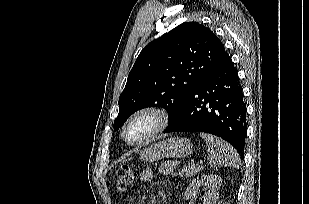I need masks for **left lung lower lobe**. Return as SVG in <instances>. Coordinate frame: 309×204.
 <instances>
[{
  "mask_svg": "<svg viewBox=\"0 0 309 204\" xmlns=\"http://www.w3.org/2000/svg\"><path fill=\"white\" fill-rule=\"evenodd\" d=\"M186 131L221 137L233 145L243 158L247 132L246 105L237 71L227 52L202 77L188 100L169 120L164 132Z\"/></svg>",
  "mask_w": 309,
  "mask_h": 204,
  "instance_id": "left-lung-lower-lobe-1",
  "label": "left lung lower lobe"
}]
</instances>
